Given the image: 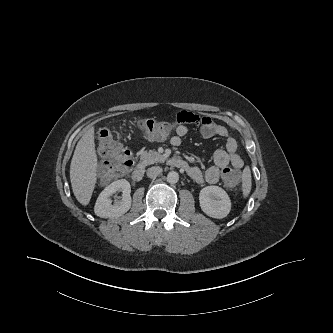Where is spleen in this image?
<instances>
[{"label": "spleen", "mask_w": 333, "mask_h": 333, "mask_svg": "<svg viewBox=\"0 0 333 333\" xmlns=\"http://www.w3.org/2000/svg\"><path fill=\"white\" fill-rule=\"evenodd\" d=\"M243 196L246 198L251 190V173L247 168L243 173V183H242Z\"/></svg>", "instance_id": "spleen-1"}]
</instances>
